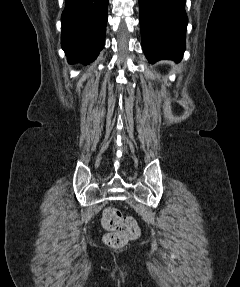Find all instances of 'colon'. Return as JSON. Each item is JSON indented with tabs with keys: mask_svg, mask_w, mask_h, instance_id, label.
<instances>
[{
	"mask_svg": "<svg viewBox=\"0 0 240 287\" xmlns=\"http://www.w3.org/2000/svg\"><path fill=\"white\" fill-rule=\"evenodd\" d=\"M102 225L107 230L104 242L111 248L124 246L136 239L140 233L136 221L130 216L124 217L121 211L114 207L105 209Z\"/></svg>",
	"mask_w": 240,
	"mask_h": 287,
	"instance_id": "obj_1",
	"label": "colon"
}]
</instances>
